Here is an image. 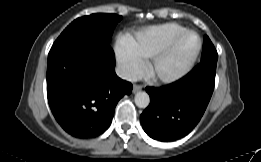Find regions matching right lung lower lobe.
<instances>
[{
  "label": "right lung lower lobe",
  "instance_id": "right-lung-lower-lobe-1",
  "mask_svg": "<svg viewBox=\"0 0 261 162\" xmlns=\"http://www.w3.org/2000/svg\"><path fill=\"white\" fill-rule=\"evenodd\" d=\"M114 52L100 39L53 44L47 65V97L60 126L77 138L106 131L118 101L132 84L114 71Z\"/></svg>",
  "mask_w": 261,
  "mask_h": 162
}]
</instances>
